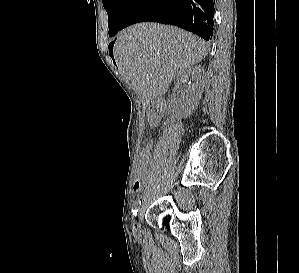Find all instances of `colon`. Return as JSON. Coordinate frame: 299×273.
Listing matches in <instances>:
<instances>
[{
    "mask_svg": "<svg viewBox=\"0 0 299 273\" xmlns=\"http://www.w3.org/2000/svg\"><path fill=\"white\" fill-rule=\"evenodd\" d=\"M152 149V142L150 140H146L145 143H144V146H143V150H145L146 152L148 151H151ZM141 175V170L139 169L137 171V174H136V179H138Z\"/></svg>",
    "mask_w": 299,
    "mask_h": 273,
    "instance_id": "colon-1",
    "label": "colon"
}]
</instances>
